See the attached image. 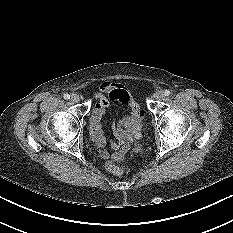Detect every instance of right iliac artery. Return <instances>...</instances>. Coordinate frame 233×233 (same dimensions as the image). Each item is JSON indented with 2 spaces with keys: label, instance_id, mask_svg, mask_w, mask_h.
I'll return each mask as SVG.
<instances>
[{
  "label": "right iliac artery",
  "instance_id": "82829eb1",
  "mask_svg": "<svg viewBox=\"0 0 233 233\" xmlns=\"http://www.w3.org/2000/svg\"><path fill=\"white\" fill-rule=\"evenodd\" d=\"M64 99L66 100L70 99V95L68 93L64 94Z\"/></svg>",
  "mask_w": 233,
  "mask_h": 233
}]
</instances>
